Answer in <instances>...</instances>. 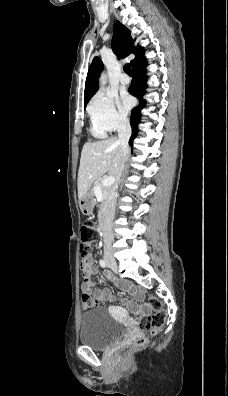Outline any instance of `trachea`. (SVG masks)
<instances>
[{"label":"trachea","instance_id":"trachea-1","mask_svg":"<svg viewBox=\"0 0 228 396\" xmlns=\"http://www.w3.org/2000/svg\"><path fill=\"white\" fill-rule=\"evenodd\" d=\"M124 71L128 74V75H130V76H132V71H131V66H130V64H126V65H124Z\"/></svg>","mask_w":228,"mask_h":396}]
</instances>
